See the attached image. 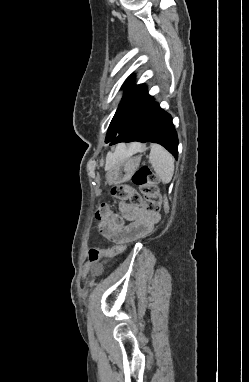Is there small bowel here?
Returning a JSON list of instances; mask_svg holds the SVG:
<instances>
[{
    "label": "small bowel",
    "mask_w": 249,
    "mask_h": 382,
    "mask_svg": "<svg viewBox=\"0 0 249 382\" xmlns=\"http://www.w3.org/2000/svg\"><path fill=\"white\" fill-rule=\"evenodd\" d=\"M122 216L128 222L127 225H117L110 219L96 216L99 231L104 237L114 242L134 241L149 234L160 220L158 214L133 205H125Z\"/></svg>",
    "instance_id": "1"
}]
</instances>
